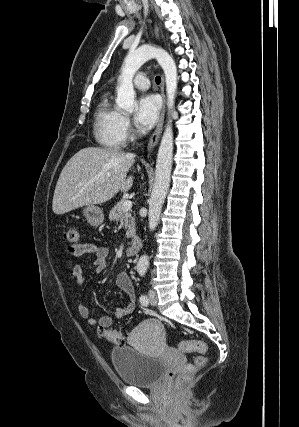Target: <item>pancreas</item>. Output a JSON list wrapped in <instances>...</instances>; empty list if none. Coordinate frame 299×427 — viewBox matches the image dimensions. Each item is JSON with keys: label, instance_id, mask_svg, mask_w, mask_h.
<instances>
[{"label": "pancreas", "instance_id": "cf45deb5", "mask_svg": "<svg viewBox=\"0 0 299 427\" xmlns=\"http://www.w3.org/2000/svg\"><path fill=\"white\" fill-rule=\"evenodd\" d=\"M125 200H120L117 204L112 208L109 214V219L111 221H120L121 219L124 222L126 231V237L131 238L135 235V221L130 211H123V203Z\"/></svg>", "mask_w": 299, "mask_h": 427}]
</instances>
